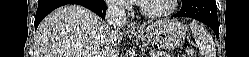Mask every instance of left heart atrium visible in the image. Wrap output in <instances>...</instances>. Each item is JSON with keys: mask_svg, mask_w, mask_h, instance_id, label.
Instances as JSON below:
<instances>
[{"mask_svg": "<svg viewBox=\"0 0 249 57\" xmlns=\"http://www.w3.org/2000/svg\"><path fill=\"white\" fill-rule=\"evenodd\" d=\"M136 2H138V3H139V2H143V1H142V0H136Z\"/></svg>", "mask_w": 249, "mask_h": 57, "instance_id": "obj_1", "label": "left heart atrium"}]
</instances>
